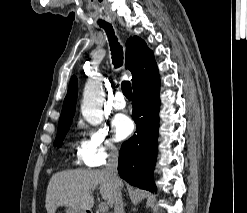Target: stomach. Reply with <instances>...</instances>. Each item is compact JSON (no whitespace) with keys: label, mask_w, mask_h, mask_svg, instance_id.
<instances>
[{"label":"stomach","mask_w":247,"mask_h":213,"mask_svg":"<svg viewBox=\"0 0 247 213\" xmlns=\"http://www.w3.org/2000/svg\"><path fill=\"white\" fill-rule=\"evenodd\" d=\"M65 213H87V211L86 210H82V209H76V208L68 207L65 210Z\"/></svg>","instance_id":"obj_1"}]
</instances>
